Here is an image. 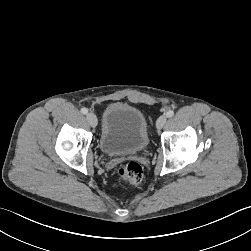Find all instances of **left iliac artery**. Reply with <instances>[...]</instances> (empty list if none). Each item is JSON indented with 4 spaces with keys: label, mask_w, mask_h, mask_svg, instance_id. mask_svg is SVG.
<instances>
[{
    "label": "left iliac artery",
    "mask_w": 251,
    "mask_h": 251,
    "mask_svg": "<svg viewBox=\"0 0 251 251\" xmlns=\"http://www.w3.org/2000/svg\"><path fill=\"white\" fill-rule=\"evenodd\" d=\"M174 115V111L172 110H169L167 113H166V117L170 118Z\"/></svg>",
    "instance_id": "obj_1"
}]
</instances>
